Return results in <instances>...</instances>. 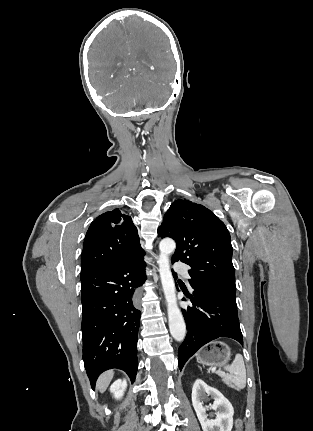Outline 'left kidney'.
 <instances>
[{"label": "left kidney", "instance_id": "1", "mask_svg": "<svg viewBox=\"0 0 313 431\" xmlns=\"http://www.w3.org/2000/svg\"><path fill=\"white\" fill-rule=\"evenodd\" d=\"M211 396L214 403L210 407H204L202 399ZM192 404L203 431H231L233 427L234 409L231 403L215 388L208 386L203 380L197 379L192 388ZM217 411L215 419H209L206 410Z\"/></svg>", "mask_w": 313, "mask_h": 431}]
</instances>
